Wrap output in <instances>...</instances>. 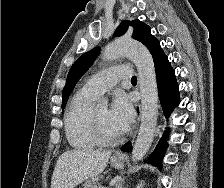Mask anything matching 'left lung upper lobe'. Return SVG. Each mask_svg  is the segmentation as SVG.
<instances>
[{
	"instance_id": "left-lung-upper-lobe-1",
	"label": "left lung upper lobe",
	"mask_w": 224,
	"mask_h": 188,
	"mask_svg": "<svg viewBox=\"0 0 224 188\" xmlns=\"http://www.w3.org/2000/svg\"><path fill=\"white\" fill-rule=\"evenodd\" d=\"M130 25L135 29L132 37L143 43L148 48L152 55L154 65L166 56L160 47L159 41L150 33V27L139 20L123 21L115 31L114 36L124 34ZM98 53L99 48L96 47L81 55V57H79L72 65L67 76L66 85L62 92V109L65 108L68 97L77 81L92 65Z\"/></svg>"
}]
</instances>
